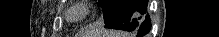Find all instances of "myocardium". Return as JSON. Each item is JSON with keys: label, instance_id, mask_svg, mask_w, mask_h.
<instances>
[{"label": "myocardium", "instance_id": "1", "mask_svg": "<svg viewBox=\"0 0 219 37\" xmlns=\"http://www.w3.org/2000/svg\"><path fill=\"white\" fill-rule=\"evenodd\" d=\"M90 12L87 2L77 1L67 11V18L71 22L83 20Z\"/></svg>", "mask_w": 219, "mask_h": 37}]
</instances>
